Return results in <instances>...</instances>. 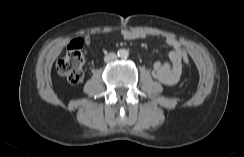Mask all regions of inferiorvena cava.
I'll list each match as a JSON object with an SVG mask.
<instances>
[{
	"mask_svg": "<svg viewBox=\"0 0 244 157\" xmlns=\"http://www.w3.org/2000/svg\"><path fill=\"white\" fill-rule=\"evenodd\" d=\"M117 58V55L115 53H109L104 57L105 62L113 61Z\"/></svg>",
	"mask_w": 244,
	"mask_h": 157,
	"instance_id": "602c4592",
	"label": "inferior vena cava"
}]
</instances>
